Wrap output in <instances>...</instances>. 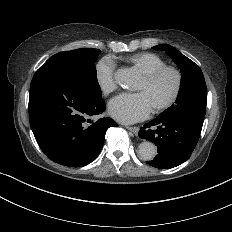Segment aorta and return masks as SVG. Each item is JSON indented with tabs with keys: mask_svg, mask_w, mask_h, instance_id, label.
<instances>
[{
	"mask_svg": "<svg viewBox=\"0 0 232 232\" xmlns=\"http://www.w3.org/2000/svg\"><path fill=\"white\" fill-rule=\"evenodd\" d=\"M115 78L121 86H132L135 82V75L127 69H120L116 72ZM157 154L156 146L149 141H144L139 144V155L143 160L150 161Z\"/></svg>",
	"mask_w": 232,
	"mask_h": 232,
	"instance_id": "obj_1",
	"label": "aorta"
}]
</instances>
